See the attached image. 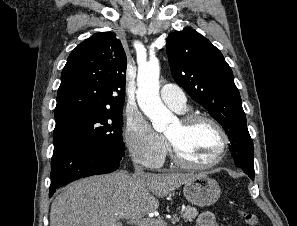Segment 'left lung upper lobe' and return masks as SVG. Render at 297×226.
<instances>
[{"label":"left lung upper lobe","mask_w":297,"mask_h":226,"mask_svg":"<svg viewBox=\"0 0 297 226\" xmlns=\"http://www.w3.org/2000/svg\"><path fill=\"white\" fill-rule=\"evenodd\" d=\"M166 48L175 81L211 113L229 136L235 165L254 168L253 141L240 94L222 53L192 28L170 33Z\"/></svg>","instance_id":"left-lung-upper-lobe-1"}]
</instances>
